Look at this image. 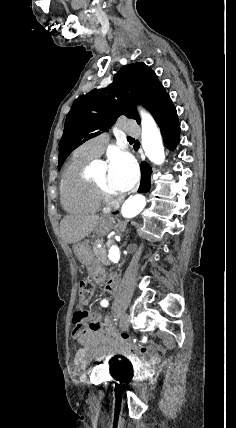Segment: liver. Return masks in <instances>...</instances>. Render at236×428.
I'll use <instances>...</instances> for the list:
<instances>
[{"label":"liver","instance_id":"6515ba94","mask_svg":"<svg viewBox=\"0 0 236 428\" xmlns=\"http://www.w3.org/2000/svg\"><path fill=\"white\" fill-rule=\"evenodd\" d=\"M99 216H82V214H70L60 222V234L66 244H76L86 236H89L95 228L100 226Z\"/></svg>","mask_w":236,"mask_h":428}]
</instances>
